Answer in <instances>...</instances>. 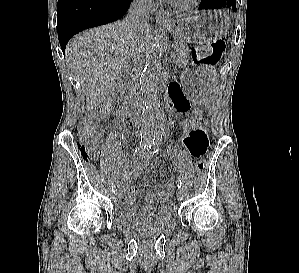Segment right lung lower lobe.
Listing matches in <instances>:
<instances>
[{
  "mask_svg": "<svg viewBox=\"0 0 299 273\" xmlns=\"http://www.w3.org/2000/svg\"><path fill=\"white\" fill-rule=\"evenodd\" d=\"M132 0H58L57 32L63 53L78 32L116 21L124 16Z\"/></svg>",
  "mask_w": 299,
  "mask_h": 273,
  "instance_id": "obj_1",
  "label": "right lung lower lobe"
}]
</instances>
